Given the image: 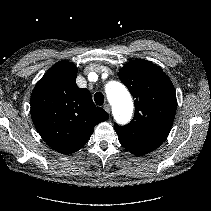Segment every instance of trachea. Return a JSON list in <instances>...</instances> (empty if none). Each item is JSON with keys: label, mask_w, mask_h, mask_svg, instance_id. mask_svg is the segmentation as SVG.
<instances>
[{"label": "trachea", "mask_w": 211, "mask_h": 211, "mask_svg": "<svg viewBox=\"0 0 211 211\" xmlns=\"http://www.w3.org/2000/svg\"><path fill=\"white\" fill-rule=\"evenodd\" d=\"M94 101L97 105L101 106L104 103V95L101 92H97L94 95Z\"/></svg>", "instance_id": "obj_1"}]
</instances>
